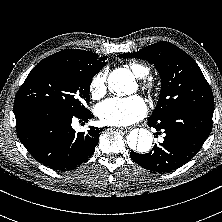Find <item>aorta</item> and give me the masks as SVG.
I'll return each mask as SVG.
<instances>
[{
	"mask_svg": "<svg viewBox=\"0 0 222 222\" xmlns=\"http://www.w3.org/2000/svg\"><path fill=\"white\" fill-rule=\"evenodd\" d=\"M134 76L127 69H116L108 77L109 89L118 94H132L135 91ZM153 143V135L146 129L132 131L127 137V144L133 152L146 153Z\"/></svg>",
	"mask_w": 222,
	"mask_h": 222,
	"instance_id": "762f6f07",
	"label": "aorta"
}]
</instances>
